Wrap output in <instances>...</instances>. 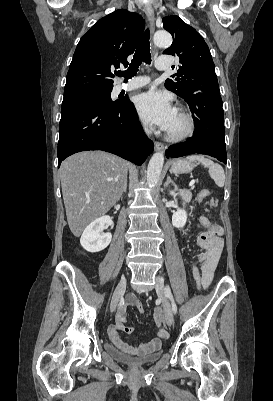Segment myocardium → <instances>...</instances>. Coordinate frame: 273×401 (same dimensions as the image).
Segmentation results:
<instances>
[{
    "label": "myocardium",
    "instance_id": "myocardium-1",
    "mask_svg": "<svg viewBox=\"0 0 273 401\" xmlns=\"http://www.w3.org/2000/svg\"><path fill=\"white\" fill-rule=\"evenodd\" d=\"M177 111L185 119L187 127L183 132L180 133H171L166 131L165 133L166 138L174 142L184 141L192 137V135L195 133L196 130L195 118L182 107H178Z\"/></svg>",
    "mask_w": 273,
    "mask_h": 401
}]
</instances>
